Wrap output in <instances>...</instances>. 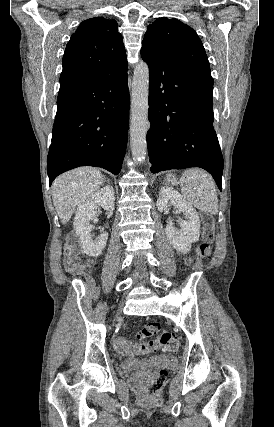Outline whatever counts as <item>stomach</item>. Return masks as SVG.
<instances>
[{"mask_svg": "<svg viewBox=\"0 0 274 427\" xmlns=\"http://www.w3.org/2000/svg\"><path fill=\"white\" fill-rule=\"evenodd\" d=\"M177 178L173 174H167V184H176Z\"/></svg>", "mask_w": 274, "mask_h": 427, "instance_id": "stomach-1", "label": "stomach"}]
</instances>
